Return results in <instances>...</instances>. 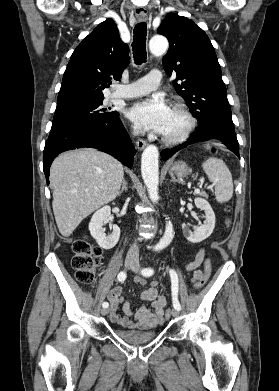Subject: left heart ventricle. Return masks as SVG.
I'll return each mask as SVG.
<instances>
[{"label":"left heart ventricle","mask_w":279,"mask_h":391,"mask_svg":"<svg viewBox=\"0 0 279 391\" xmlns=\"http://www.w3.org/2000/svg\"><path fill=\"white\" fill-rule=\"evenodd\" d=\"M185 126L186 120L183 115L177 111H173L170 109V113L162 134L166 136L178 135L184 130Z\"/></svg>","instance_id":"b2bd125f"}]
</instances>
